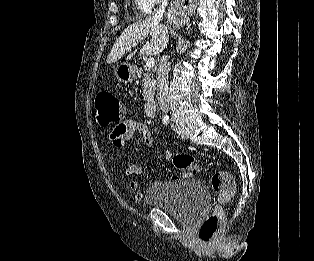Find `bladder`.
Returning <instances> with one entry per match:
<instances>
[{
  "label": "bladder",
  "mask_w": 314,
  "mask_h": 261,
  "mask_svg": "<svg viewBox=\"0 0 314 261\" xmlns=\"http://www.w3.org/2000/svg\"><path fill=\"white\" fill-rule=\"evenodd\" d=\"M148 205L164 210L185 225H193L208 207V190L199 180L154 181L146 192Z\"/></svg>",
  "instance_id": "31cf9c89"
}]
</instances>
